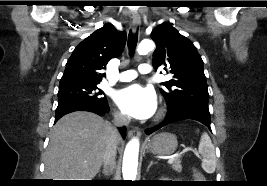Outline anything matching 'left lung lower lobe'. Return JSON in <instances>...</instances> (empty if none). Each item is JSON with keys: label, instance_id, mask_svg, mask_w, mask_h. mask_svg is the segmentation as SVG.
Returning a JSON list of instances; mask_svg holds the SVG:
<instances>
[{"label": "left lung lower lobe", "instance_id": "1", "mask_svg": "<svg viewBox=\"0 0 267 186\" xmlns=\"http://www.w3.org/2000/svg\"><path fill=\"white\" fill-rule=\"evenodd\" d=\"M185 119L199 121L211 130L208 107L188 105L168 111L167 116L162 123L153 128L147 129L145 133L149 135L165 125Z\"/></svg>", "mask_w": 267, "mask_h": 186}]
</instances>
